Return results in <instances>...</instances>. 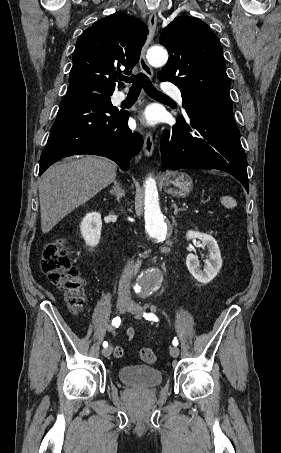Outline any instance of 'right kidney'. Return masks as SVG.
Instances as JSON below:
<instances>
[{"label":"right kidney","instance_id":"1","mask_svg":"<svg viewBox=\"0 0 281 453\" xmlns=\"http://www.w3.org/2000/svg\"><path fill=\"white\" fill-rule=\"evenodd\" d=\"M81 235L89 247H96L100 241L102 220L100 212H88L80 222Z\"/></svg>","mask_w":281,"mask_h":453}]
</instances>
